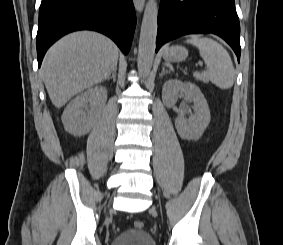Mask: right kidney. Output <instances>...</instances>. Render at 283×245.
Segmentation results:
<instances>
[{"mask_svg":"<svg viewBox=\"0 0 283 245\" xmlns=\"http://www.w3.org/2000/svg\"><path fill=\"white\" fill-rule=\"evenodd\" d=\"M107 100V90L95 86L74 98L62 114V122L67 132L74 136L87 134Z\"/></svg>","mask_w":283,"mask_h":245,"instance_id":"right-kidney-1","label":"right kidney"}]
</instances>
